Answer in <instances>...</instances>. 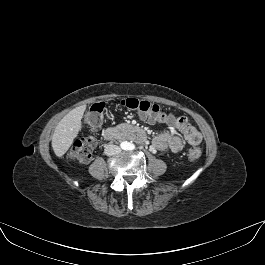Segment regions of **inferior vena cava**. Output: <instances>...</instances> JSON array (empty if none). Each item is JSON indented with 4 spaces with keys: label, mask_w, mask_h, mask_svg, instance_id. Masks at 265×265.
I'll list each match as a JSON object with an SVG mask.
<instances>
[{
    "label": "inferior vena cava",
    "mask_w": 265,
    "mask_h": 265,
    "mask_svg": "<svg viewBox=\"0 0 265 265\" xmlns=\"http://www.w3.org/2000/svg\"><path fill=\"white\" fill-rule=\"evenodd\" d=\"M121 152V148L117 145L108 144L105 146L104 154L107 156H114Z\"/></svg>",
    "instance_id": "1"
}]
</instances>
